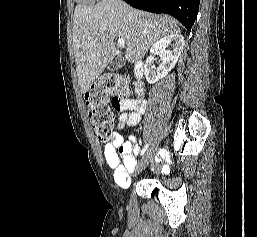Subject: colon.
<instances>
[{
    "label": "colon",
    "instance_id": "colon-1",
    "mask_svg": "<svg viewBox=\"0 0 257 237\" xmlns=\"http://www.w3.org/2000/svg\"><path fill=\"white\" fill-rule=\"evenodd\" d=\"M131 94L129 81L118 75L101 77L86 93L85 101L89 117L100 141H109L113 136L114 115L108 102H120Z\"/></svg>",
    "mask_w": 257,
    "mask_h": 237
}]
</instances>
